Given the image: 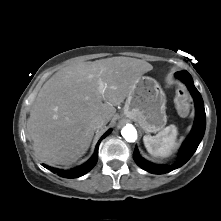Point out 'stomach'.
<instances>
[{
	"instance_id": "1",
	"label": "stomach",
	"mask_w": 221,
	"mask_h": 221,
	"mask_svg": "<svg viewBox=\"0 0 221 221\" xmlns=\"http://www.w3.org/2000/svg\"><path fill=\"white\" fill-rule=\"evenodd\" d=\"M124 115L137 122L146 133H156L167 123L166 97L159 83L140 77L127 96Z\"/></svg>"
}]
</instances>
